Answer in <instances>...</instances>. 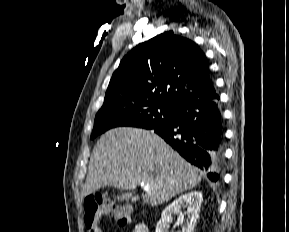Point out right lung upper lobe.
I'll return each instance as SVG.
<instances>
[{
  "mask_svg": "<svg viewBox=\"0 0 289 232\" xmlns=\"http://www.w3.org/2000/svg\"><path fill=\"white\" fill-rule=\"evenodd\" d=\"M129 96L177 108L218 95L203 51L168 31L137 45L113 73L105 99Z\"/></svg>",
  "mask_w": 289,
  "mask_h": 232,
  "instance_id": "right-lung-upper-lobe-1",
  "label": "right lung upper lobe"
}]
</instances>
